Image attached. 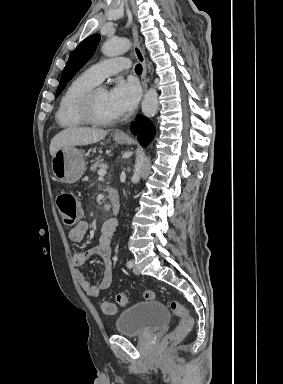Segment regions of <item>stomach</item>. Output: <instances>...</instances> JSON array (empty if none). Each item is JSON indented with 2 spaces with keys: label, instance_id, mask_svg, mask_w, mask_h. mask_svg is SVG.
I'll return each instance as SVG.
<instances>
[{
  "label": "stomach",
  "instance_id": "obj_1",
  "mask_svg": "<svg viewBox=\"0 0 283 384\" xmlns=\"http://www.w3.org/2000/svg\"><path fill=\"white\" fill-rule=\"evenodd\" d=\"M128 136L124 138H114L116 144H126ZM52 172L63 184H75L80 180L85 172V158L82 150H77L74 146L59 148L51 160Z\"/></svg>",
  "mask_w": 283,
  "mask_h": 384
}]
</instances>
